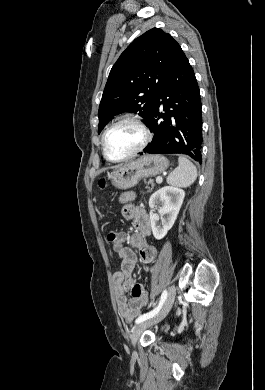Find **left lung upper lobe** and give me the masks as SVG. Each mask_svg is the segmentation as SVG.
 Listing matches in <instances>:
<instances>
[{
	"label": "left lung upper lobe",
	"mask_w": 265,
	"mask_h": 390,
	"mask_svg": "<svg viewBox=\"0 0 265 390\" xmlns=\"http://www.w3.org/2000/svg\"><path fill=\"white\" fill-rule=\"evenodd\" d=\"M183 53L171 35L153 28L136 38L113 65L99 105L98 133L123 112L151 120L156 95Z\"/></svg>",
	"instance_id": "obj_1"
}]
</instances>
